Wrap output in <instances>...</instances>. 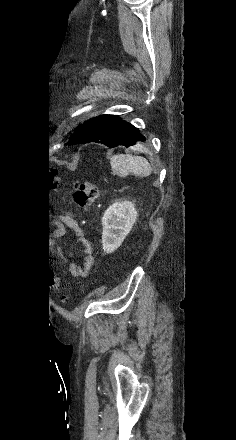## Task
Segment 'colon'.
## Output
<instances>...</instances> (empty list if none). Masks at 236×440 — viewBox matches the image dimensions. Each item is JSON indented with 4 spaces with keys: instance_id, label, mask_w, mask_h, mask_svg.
<instances>
[{
    "instance_id": "colon-1",
    "label": "colon",
    "mask_w": 236,
    "mask_h": 440,
    "mask_svg": "<svg viewBox=\"0 0 236 440\" xmlns=\"http://www.w3.org/2000/svg\"><path fill=\"white\" fill-rule=\"evenodd\" d=\"M57 174L56 170L52 171L53 185L55 188L60 186ZM74 188L75 203L81 208L88 209L98 198L99 189L96 184L89 180L76 183ZM47 283L48 285H59L60 278L59 276H48Z\"/></svg>"
}]
</instances>
